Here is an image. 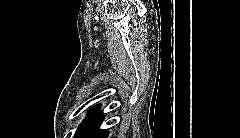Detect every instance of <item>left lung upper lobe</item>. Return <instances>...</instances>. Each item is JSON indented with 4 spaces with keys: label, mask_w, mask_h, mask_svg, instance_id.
<instances>
[{
    "label": "left lung upper lobe",
    "mask_w": 240,
    "mask_h": 138,
    "mask_svg": "<svg viewBox=\"0 0 240 138\" xmlns=\"http://www.w3.org/2000/svg\"><path fill=\"white\" fill-rule=\"evenodd\" d=\"M100 106H97L93 108L90 113L85 117V119L82 121V123L78 126L76 132H75V138H78L80 133L83 131V129L88 125V123L91 121V119L97 114L99 111Z\"/></svg>",
    "instance_id": "obj_1"
}]
</instances>
